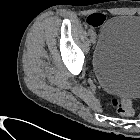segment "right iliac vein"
Segmentation results:
<instances>
[{"mask_svg": "<svg viewBox=\"0 0 140 140\" xmlns=\"http://www.w3.org/2000/svg\"><path fill=\"white\" fill-rule=\"evenodd\" d=\"M90 40H91V43H92V44H95V42H96V34H95V33H92V34H91Z\"/></svg>", "mask_w": 140, "mask_h": 140, "instance_id": "1", "label": "right iliac vein"}]
</instances>
